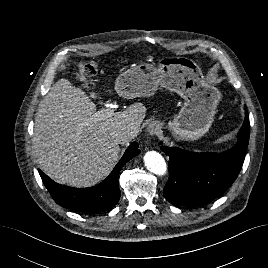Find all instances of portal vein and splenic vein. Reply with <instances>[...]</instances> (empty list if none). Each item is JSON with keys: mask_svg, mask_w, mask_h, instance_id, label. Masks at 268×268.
Listing matches in <instances>:
<instances>
[{"mask_svg": "<svg viewBox=\"0 0 268 268\" xmlns=\"http://www.w3.org/2000/svg\"><path fill=\"white\" fill-rule=\"evenodd\" d=\"M115 113V109L113 107H106L98 111L95 115L98 119H107L112 117Z\"/></svg>", "mask_w": 268, "mask_h": 268, "instance_id": "18ae733b", "label": "portal vein and splenic vein"}]
</instances>
